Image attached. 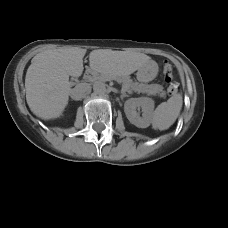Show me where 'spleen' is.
<instances>
[{
    "mask_svg": "<svg viewBox=\"0 0 228 228\" xmlns=\"http://www.w3.org/2000/svg\"><path fill=\"white\" fill-rule=\"evenodd\" d=\"M182 104L183 100L180 93L159 104L151 117L153 129L166 130L173 125L180 114Z\"/></svg>",
    "mask_w": 228,
    "mask_h": 228,
    "instance_id": "3e777b00",
    "label": "spleen"
}]
</instances>
